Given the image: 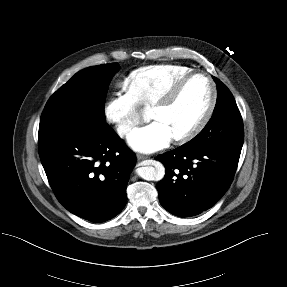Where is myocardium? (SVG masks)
Wrapping results in <instances>:
<instances>
[{
    "instance_id": "f54148a6",
    "label": "myocardium",
    "mask_w": 287,
    "mask_h": 287,
    "mask_svg": "<svg viewBox=\"0 0 287 287\" xmlns=\"http://www.w3.org/2000/svg\"><path fill=\"white\" fill-rule=\"evenodd\" d=\"M194 77H203L204 79L207 80L210 86V91H211L210 101L204 114L192 128H190L189 130H187L186 132L182 134L172 137L173 140L177 143H185L193 139L205 128V126L210 121L214 113V110L216 108V104L218 100V91H217V87H216L214 80L206 73L190 72L184 75L183 77H181L180 79H178L167 90V92L151 106V110H161V109L169 107L175 101V99L177 98L178 94L180 93L184 85Z\"/></svg>"
}]
</instances>
